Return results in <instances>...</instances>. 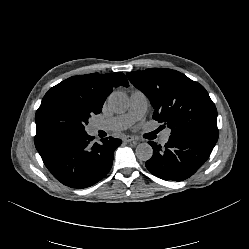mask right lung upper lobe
<instances>
[{
	"label": "right lung upper lobe",
	"instance_id": "1",
	"mask_svg": "<svg viewBox=\"0 0 249 249\" xmlns=\"http://www.w3.org/2000/svg\"><path fill=\"white\" fill-rule=\"evenodd\" d=\"M120 85L129 86L121 72L72 76L52 87L43 97L39 109L51 100L65 97L79 99L99 114L106 98ZM36 126L35 146H38L49 139L39 133L37 123Z\"/></svg>",
	"mask_w": 249,
	"mask_h": 249
}]
</instances>
